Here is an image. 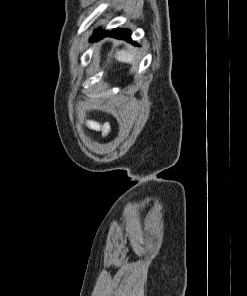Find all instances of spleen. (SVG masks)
I'll return each instance as SVG.
<instances>
[{
	"mask_svg": "<svg viewBox=\"0 0 247 296\" xmlns=\"http://www.w3.org/2000/svg\"><path fill=\"white\" fill-rule=\"evenodd\" d=\"M116 59L123 63H133L135 61V53L122 50L117 52Z\"/></svg>",
	"mask_w": 247,
	"mask_h": 296,
	"instance_id": "obj_1",
	"label": "spleen"
}]
</instances>
